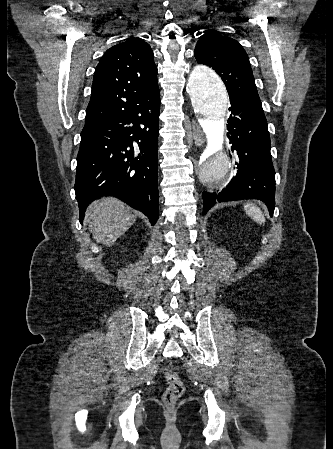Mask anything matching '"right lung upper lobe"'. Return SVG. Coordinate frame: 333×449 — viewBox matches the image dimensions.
<instances>
[{
    "instance_id": "obj_1",
    "label": "right lung upper lobe",
    "mask_w": 333,
    "mask_h": 449,
    "mask_svg": "<svg viewBox=\"0 0 333 449\" xmlns=\"http://www.w3.org/2000/svg\"><path fill=\"white\" fill-rule=\"evenodd\" d=\"M159 92L150 45L130 37L108 49L96 67L85 126L128 111Z\"/></svg>"
}]
</instances>
